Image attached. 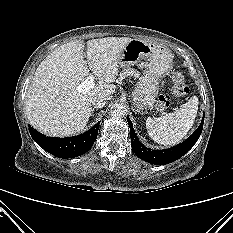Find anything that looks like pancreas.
<instances>
[{"instance_id": "cf45deb5", "label": "pancreas", "mask_w": 233, "mask_h": 233, "mask_svg": "<svg viewBox=\"0 0 233 233\" xmlns=\"http://www.w3.org/2000/svg\"><path fill=\"white\" fill-rule=\"evenodd\" d=\"M128 76L137 78L139 77V72L133 68H126L122 71V73H120V78H124Z\"/></svg>"}]
</instances>
